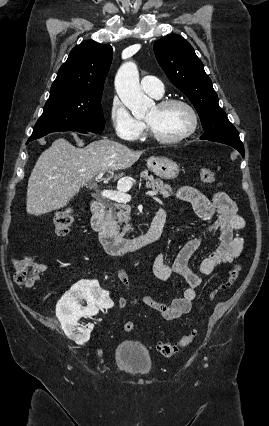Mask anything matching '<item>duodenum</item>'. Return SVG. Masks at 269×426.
I'll list each match as a JSON object with an SVG mask.
<instances>
[{
	"label": "duodenum",
	"mask_w": 269,
	"mask_h": 426,
	"mask_svg": "<svg viewBox=\"0 0 269 426\" xmlns=\"http://www.w3.org/2000/svg\"><path fill=\"white\" fill-rule=\"evenodd\" d=\"M91 225L99 236V240L109 255H122L141 249L158 240L164 230L167 212L160 207L151 222L150 228L144 234L133 238L122 237L110 230L105 218V205L101 198H95L91 203Z\"/></svg>",
	"instance_id": "obj_1"
}]
</instances>
